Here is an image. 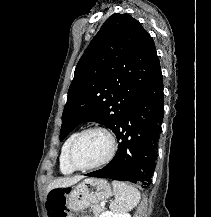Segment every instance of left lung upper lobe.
I'll list each match as a JSON object with an SVG mask.
<instances>
[{
	"instance_id": "1",
	"label": "left lung upper lobe",
	"mask_w": 211,
	"mask_h": 217,
	"mask_svg": "<svg viewBox=\"0 0 211 217\" xmlns=\"http://www.w3.org/2000/svg\"><path fill=\"white\" fill-rule=\"evenodd\" d=\"M160 72L149 33L129 14L111 15L76 66L60 140L83 122H98L114 131L134 99Z\"/></svg>"
}]
</instances>
